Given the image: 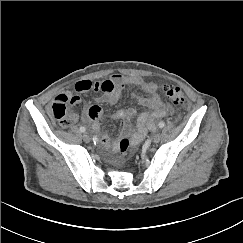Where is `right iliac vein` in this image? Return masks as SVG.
Here are the masks:
<instances>
[{"instance_id":"right-iliac-vein-1","label":"right iliac vein","mask_w":243,"mask_h":243,"mask_svg":"<svg viewBox=\"0 0 243 243\" xmlns=\"http://www.w3.org/2000/svg\"><path fill=\"white\" fill-rule=\"evenodd\" d=\"M82 138L87 143L91 141V137L87 133H84Z\"/></svg>"}]
</instances>
